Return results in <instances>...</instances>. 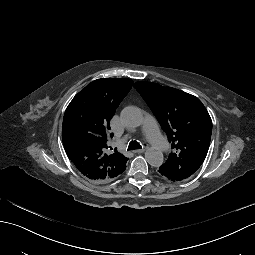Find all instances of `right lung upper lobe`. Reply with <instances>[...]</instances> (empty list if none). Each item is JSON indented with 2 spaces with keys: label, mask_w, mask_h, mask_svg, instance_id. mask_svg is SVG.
<instances>
[{
  "label": "right lung upper lobe",
  "mask_w": 255,
  "mask_h": 255,
  "mask_svg": "<svg viewBox=\"0 0 255 255\" xmlns=\"http://www.w3.org/2000/svg\"><path fill=\"white\" fill-rule=\"evenodd\" d=\"M132 84L131 79H97L81 90L65 111L62 141L66 154L91 181L108 182L126 168L128 158L117 150L110 151L108 130Z\"/></svg>",
  "instance_id": "right-lung-upper-lobe-1"
}]
</instances>
